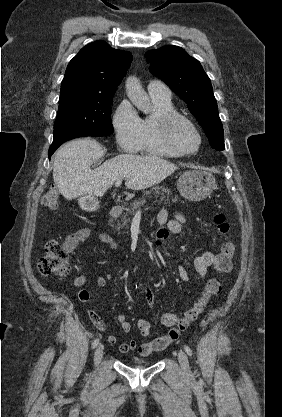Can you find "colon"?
<instances>
[{
	"mask_svg": "<svg viewBox=\"0 0 282 417\" xmlns=\"http://www.w3.org/2000/svg\"><path fill=\"white\" fill-rule=\"evenodd\" d=\"M42 202L48 210L54 211L59 207L60 195L54 187L46 188ZM215 223L218 231L224 236L219 253L216 256L214 265L221 271H229L232 268L233 256L235 253L234 242L229 238L230 224L226 221L223 214L215 216ZM68 249L55 241H49L45 244V255L40 259L37 269L41 274L55 275L65 277L69 275V265L66 259ZM222 283L218 277L210 278L201 293V297L190 308L183 318L172 329L168 330L163 339H155L151 347H141V356H152L153 353H163L167 344H175L181 333L193 322L204 310L207 302L212 297L221 292Z\"/></svg>",
	"mask_w": 282,
	"mask_h": 417,
	"instance_id": "1",
	"label": "colon"
}]
</instances>
